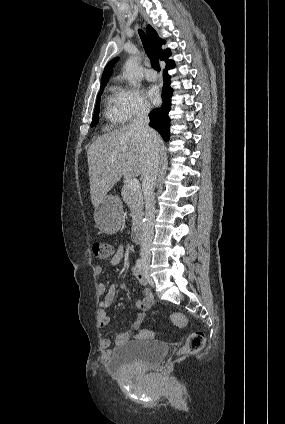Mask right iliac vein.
I'll use <instances>...</instances> for the list:
<instances>
[{
	"label": "right iliac vein",
	"mask_w": 285,
	"mask_h": 424,
	"mask_svg": "<svg viewBox=\"0 0 285 424\" xmlns=\"http://www.w3.org/2000/svg\"><path fill=\"white\" fill-rule=\"evenodd\" d=\"M143 267H144V273L148 278L149 283L153 286L154 282L152 280V278L149 276V265H150V258L147 256L143 257Z\"/></svg>",
	"instance_id": "obj_1"
}]
</instances>
